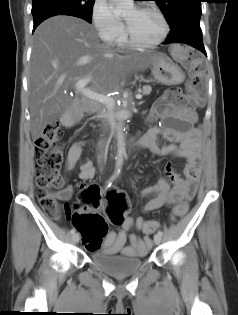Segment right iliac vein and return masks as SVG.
Masks as SVG:
<instances>
[{"label":"right iliac vein","mask_w":238,"mask_h":315,"mask_svg":"<svg viewBox=\"0 0 238 315\" xmlns=\"http://www.w3.org/2000/svg\"><path fill=\"white\" fill-rule=\"evenodd\" d=\"M72 240H73L74 243H78L79 240H80V235H79V233L73 234Z\"/></svg>","instance_id":"obj_1"}]
</instances>
